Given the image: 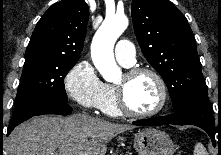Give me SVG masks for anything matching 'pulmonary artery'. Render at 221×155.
<instances>
[{
    "label": "pulmonary artery",
    "instance_id": "pulmonary-artery-1",
    "mask_svg": "<svg viewBox=\"0 0 221 155\" xmlns=\"http://www.w3.org/2000/svg\"><path fill=\"white\" fill-rule=\"evenodd\" d=\"M115 57L119 63L130 67L135 63V49L128 40H120L115 47Z\"/></svg>",
    "mask_w": 221,
    "mask_h": 155
}]
</instances>
